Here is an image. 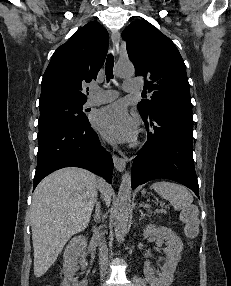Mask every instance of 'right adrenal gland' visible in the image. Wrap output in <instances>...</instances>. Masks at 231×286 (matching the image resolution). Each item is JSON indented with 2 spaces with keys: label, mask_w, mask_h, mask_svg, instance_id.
<instances>
[{
  "label": "right adrenal gland",
  "mask_w": 231,
  "mask_h": 286,
  "mask_svg": "<svg viewBox=\"0 0 231 286\" xmlns=\"http://www.w3.org/2000/svg\"><path fill=\"white\" fill-rule=\"evenodd\" d=\"M95 215H94V221L95 222H99L100 218H101V209H100V204L97 203L96 204V211H95Z\"/></svg>",
  "instance_id": "obj_1"
}]
</instances>
